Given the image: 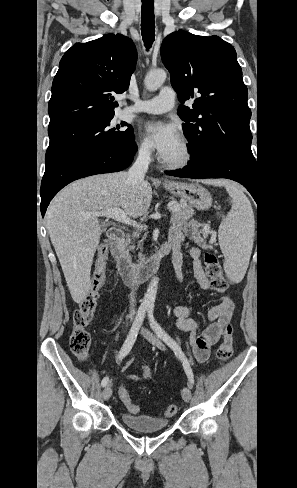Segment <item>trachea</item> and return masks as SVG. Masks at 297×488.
Returning <instances> with one entry per match:
<instances>
[{
    "label": "trachea",
    "instance_id": "obj_1",
    "mask_svg": "<svg viewBox=\"0 0 297 488\" xmlns=\"http://www.w3.org/2000/svg\"><path fill=\"white\" fill-rule=\"evenodd\" d=\"M141 32L145 47L151 48L155 39L154 4L152 1L142 3Z\"/></svg>",
    "mask_w": 297,
    "mask_h": 488
}]
</instances>
